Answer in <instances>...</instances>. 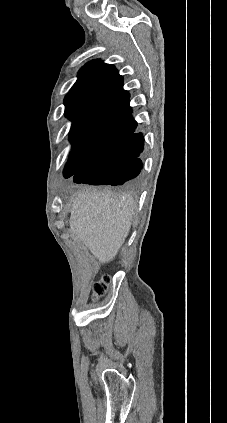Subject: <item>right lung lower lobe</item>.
I'll return each instance as SVG.
<instances>
[{
  "label": "right lung lower lobe",
  "mask_w": 227,
  "mask_h": 423,
  "mask_svg": "<svg viewBox=\"0 0 227 423\" xmlns=\"http://www.w3.org/2000/svg\"><path fill=\"white\" fill-rule=\"evenodd\" d=\"M105 118L125 121L132 127H136L131 117L129 102L110 109ZM143 145V137L137 133L96 152L73 174V181L90 185H123L140 173L142 162L138 156L143 150ZM64 176L68 178L67 166Z\"/></svg>",
  "instance_id": "98d812e1"
}]
</instances>
